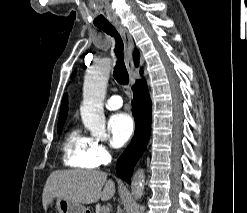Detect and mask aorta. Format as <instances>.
<instances>
[{
  "label": "aorta",
  "instance_id": "1",
  "mask_svg": "<svg viewBox=\"0 0 247 213\" xmlns=\"http://www.w3.org/2000/svg\"><path fill=\"white\" fill-rule=\"evenodd\" d=\"M111 70L110 60L104 59L91 67L84 79L83 102L80 108L84 126L93 136L105 132V116L103 101L105 99L107 82ZM145 175L138 170L132 179L131 191L136 198H141L144 191Z\"/></svg>",
  "mask_w": 247,
  "mask_h": 213
}]
</instances>
